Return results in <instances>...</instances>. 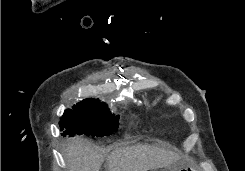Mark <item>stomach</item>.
Here are the masks:
<instances>
[{
    "label": "stomach",
    "instance_id": "0dacf381",
    "mask_svg": "<svg viewBox=\"0 0 245 171\" xmlns=\"http://www.w3.org/2000/svg\"><path fill=\"white\" fill-rule=\"evenodd\" d=\"M158 171H195L191 166L185 165V166H180V167H167L164 169H160Z\"/></svg>",
    "mask_w": 245,
    "mask_h": 171
}]
</instances>
